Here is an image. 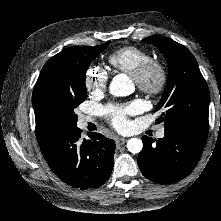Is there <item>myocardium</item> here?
Masks as SVG:
<instances>
[{"mask_svg":"<svg viewBox=\"0 0 221 221\" xmlns=\"http://www.w3.org/2000/svg\"><path fill=\"white\" fill-rule=\"evenodd\" d=\"M138 88L149 96L162 93L168 82L167 69L159 60L150 59L133 74Z\"/></svg>","mask_w":221,"mask_h":221,"instance_id":"f54148a6","label":"myocardium"}]
</instances>
